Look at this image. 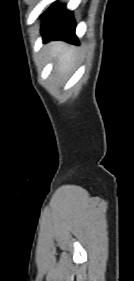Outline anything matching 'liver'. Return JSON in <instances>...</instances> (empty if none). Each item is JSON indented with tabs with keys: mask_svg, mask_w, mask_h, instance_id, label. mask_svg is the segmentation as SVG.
Returning <instances> with one entry per match:
<instances>
[{
	"mask_svg": "<svg viewBox=\"0 0 134 281\" xmlns=\"http://www.w3.org/2000/svg\"><path fill=\"white\" fill-rule=\"evenodd\" d=\"M51 54L57 59L59 70L65 72L70 70L74 62V49L66 46L64 43H52Z\"/></svg>",
	"mask_w": 134,
	"mask_h": 281,
	"instance_id": "1",
	"label": "liver"
}]
</instances>
